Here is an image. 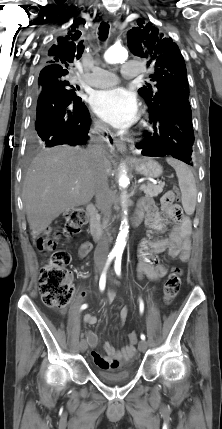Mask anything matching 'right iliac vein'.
<instances>
[{
    "mask_svg": "<svg viewBox=\"0 0 222 429\" xmlns=\"http://www.w3.org/2000/svg\"><path fill=\"white\" fill-rule=\"evenodd\" d=\"M101 272H102V270H101V269H99V270H98V274H101ZM79 347H80V350H81L82 352H85V351L87 350V348H88V344H87V341H86L84 338H82V339L80 340V342H79Z\"/></svg>",
    "mask_w": 222,
    "mask_h": 429,
    "instance_id": "right-iliac-vein-1",
    "label": "right iliac vein"
}]
</instances>
